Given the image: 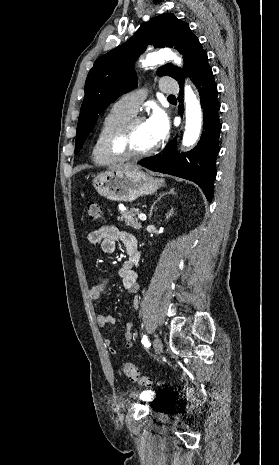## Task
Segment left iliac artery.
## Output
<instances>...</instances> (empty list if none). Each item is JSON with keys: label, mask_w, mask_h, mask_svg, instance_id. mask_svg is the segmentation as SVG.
Returning a JSON list of instances; mask_svg holds the SVG:
<instances>
[{"label": "left iliac artery", "mask_w": 279, "mask_h": 465, "mask_svg": "<svg viewBox=\"0 0 279 465\" xmlns=\"http://www.w3.org/2000/svg\"><path fill=\"white\" fill-rule=\"evenodd\" d=\"M142 343L144 344V346H145L146 348H149V347L151 346V344H150V342L148 341V338H147L146 335L143 336V338H142Z\"/></svg>", "instance_id": "left-iliac-artery-1"}]
</instances>
